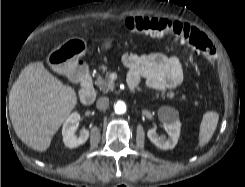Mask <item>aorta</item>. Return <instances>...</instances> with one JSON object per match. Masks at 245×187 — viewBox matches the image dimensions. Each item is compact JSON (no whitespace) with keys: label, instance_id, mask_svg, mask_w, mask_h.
Segmentation results:
<instances>
[{"label":"aorta","instance_id":"762f6f07","mask_svg":"<svg viewBox=\"0 0 245 187\" xmlns=\"http://www.w3.org/2000/svg\"><path fill=\"white\" fill-rule=\"evenodd\" d=\"M114 110L117 114H123L126 111V105L123 101H118L115 104Z\"/></svg>","mask_w":245,"mask_h":187}]
</instances>
